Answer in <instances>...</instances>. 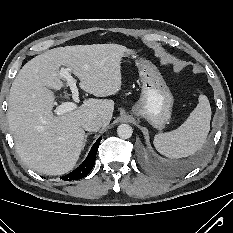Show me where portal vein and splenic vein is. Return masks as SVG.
<instances>
[{
  "mask_svg": "<svg viewBox=\"0 0 233 233\" xmlns=\"http://www.w3.org/2000/svg\"><path fill=\"white\" fill-rule=\"evenodd\" d=\"M60 76L64 77L71 89L72 92V98L74 102H64L60 105H58L55 109V113L57 115H62L67 112H71L77 108V104L79 102V93L76 86V80L70 75L68 68H61L60 70Z\"/></svg>",
  "mask_w": 233,
  "mask_h": 233,
  "instance_id": "obj_1",
  "label": "portal vein and splenic vein"
}]
</instances>
